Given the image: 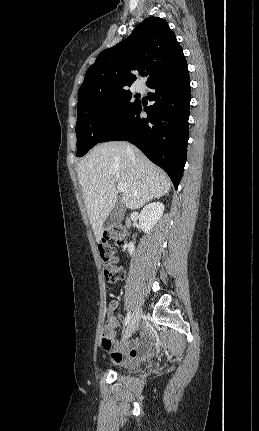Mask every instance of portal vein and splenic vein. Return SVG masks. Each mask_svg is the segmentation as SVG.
<instances>
[{
    "mask_svg": "<svg viewBox=\"0 0 259 431\" xmlns=\"http://www.w3.org/2000/svg\"><path fill=\"white\" fill-rule=\"evenodd\" d=\"M117 189H118V191H119V192H125V190H126V185H125V184H123V183H118V185H117Z\"/></svg>",
    "mask_w": 259,
    "mask_h": 431,
    "instance_id": "portal-vein-and-splenic-vein-1",
    "label": "portal vein and splenic vein"
}]
</instances>
